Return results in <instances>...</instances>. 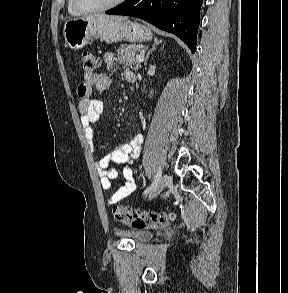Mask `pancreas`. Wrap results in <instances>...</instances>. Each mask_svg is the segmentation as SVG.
<instances>
[{"mask_svg":"<svg viewBox=\"0 0 288 293\" xmlns=\"http://www.w3.org/2000/svg\"><path fill=\"white\" fill-rule=\"evenodd\" d=\"M139 47L136 45L124 46L122 45L117 50V63L125 67L133 68L135 71L141 68L140 62L136 60Z\"/></svg>","mask_w":288,"mask_h":293,"instance_id":"pancreas-1","label":"pancreas"}]
</instances>
